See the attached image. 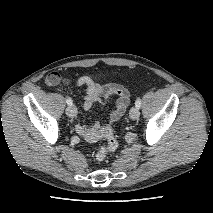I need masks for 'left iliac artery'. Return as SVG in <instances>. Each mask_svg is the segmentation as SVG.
<instances>
[{"label": "left iliac artery", "mask_w": 213, "mask_h": 213, "mask_svg": "<svg viewBox=\"0 0 213 213\" xmlns=\"http://www.w3.org/2000/svg\"><path fill=\"white\" fill-rule=\"evenodd\" d=\"M135 106L137 108H140L141 107V99L140 98H137L136 102H135Z\"/></svg>", "instance_id": "obj_1"}]
</instances>
